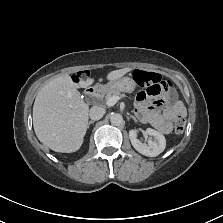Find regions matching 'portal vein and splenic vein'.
Instances as JSON below:
<instances>
[{
    "instance_id": "1",
    "label": "portal vein and splenic vein",
    "mask_w": 223,
    "mask_h": 223,
    "mask_svg": "<svg viewBox=\"0 0 223 223\" xmlns=\"http://www.w3.org/2000/svg\"><path fill=\"white\" fill-rule=\"evenodd\" d=\"M119 100V96H112L109 100H108V105L109 106H114Z\"/></svg>"
}]
</instances>
